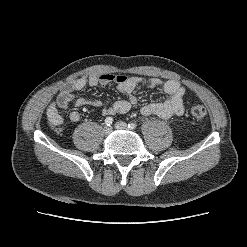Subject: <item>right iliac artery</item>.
Listing matches in <instances>:
<instances>
[{
	"label": "right iliac artery",
	"mask_w": 247,
	"mask_h": 247,
	"mask_svg": "<svg viewBox=\"0 0 247 247\" xmlns=\"http://www.w3.org/2000/svg\"><path fill=\"white\" fill-rule=\"evenodd\" d=\"M112 123H113V118H112V117H107V118L105 119V124H106L107 126L112 125Z\"/></svg>",
	"instance_id": "82829eb1"
}]
</instances>
